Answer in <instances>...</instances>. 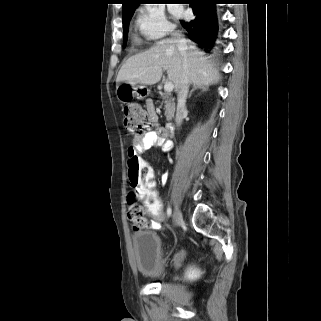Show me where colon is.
Here are the masks:
<instances>
[{
	"mask_svg": "<svg viewBox=\"0 0 321 321\" xmlns=\"http://www.w3.org/2000/svg\"><path fill=\"white\" fill-rule=\"evenodd\" d=\"M155 116L145 111L137 103H129L124 107V126L130 134L138 135L147 131L153 124ZM128 175L133 188L128 195V220L135 229L144 228L147 221L146 216H152L153 222H162V212L166 206L161 201L159 191H155V181L152 180L153 173L148 164L138 155L131 153L128 157ZM143 198V208L138 200Z\"/></svg>",
	"mask_w": 321,
	"mask_h": 321,
	"instance_id": "colon-1",
	"label": "colon"
}]
</instances>
